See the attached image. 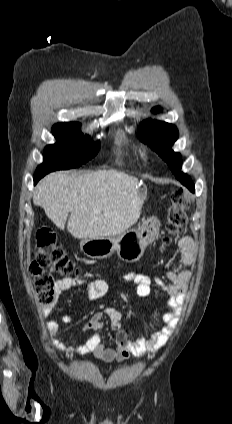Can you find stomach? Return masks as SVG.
Segmentation results:
<instances>
[{
    "label": "stomach",
    "mask_w": 232,
    "mask_h": 424,
    "mask_svg": "<svg viewBox=\"0 0 232 424\" xmlns=\"http://www.w3.org/2000/svg\"><path fill=\"white\" fill-rule=\"evenodd\" d=\"M158 221H146L138 229H129L118 236L88 238L80 242L82 252L92 259H105L115 251L120 259L134 262L159 234Z\"/></svg>",
    "instance_id": "1"
}]
</instances>
